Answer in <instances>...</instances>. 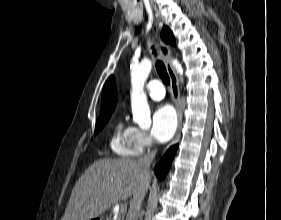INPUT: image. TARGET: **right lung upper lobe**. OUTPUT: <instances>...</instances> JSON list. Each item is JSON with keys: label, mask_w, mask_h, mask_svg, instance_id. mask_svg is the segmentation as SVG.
Returning a JSON list of instances; mask_svg holds the SVG:
<instances>
[{"label": "right lung upper lobe", "mask_w": 281, "mask_h": 220, "mask_svg": "<svg viewBox=\"0 0 281 220\" xmlns=\"http://www.w3.org/2000/svg\"><path fill=\"white\" fill-rule=\"evenodd\" d=\"M117 101V90L114 77L111 76L104 84L101 98L100 116L111 115Z\"/></svg>", "instance_id": "obj_1"}]
</instances>
